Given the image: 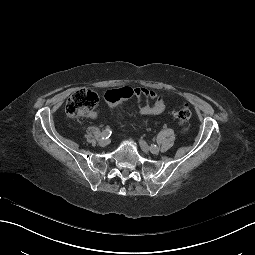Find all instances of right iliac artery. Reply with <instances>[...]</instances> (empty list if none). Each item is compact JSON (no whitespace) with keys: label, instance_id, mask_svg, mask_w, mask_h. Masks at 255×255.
Segmentation results:
<instances>
[{"label":"right iliac artery","instance_id":"1","mask_svg":"<svg viewBox=\"0 0 255 255\" xmlns=\"http://www.w3.org/2000/svg\"><path fill=\"white\" fill-rule=\"evenodd\" d=\"M112 134V131L109 127H107L102 133H101V137L102 139H108L110 137V135Z\"/></svg>","mask_w":255,"mask_h":255}]
</instances>
